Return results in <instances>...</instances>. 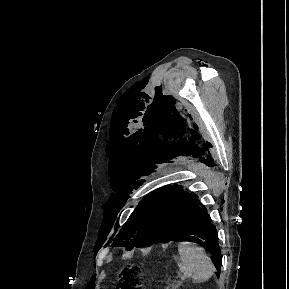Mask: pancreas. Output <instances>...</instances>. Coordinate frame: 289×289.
<instances>
[{
  "instance_id": "cf45deb5",
  "label": "pancreas",
  "mask_w": 289,
  "mask_h": 289,
  "mask_svg": "<svg viewBox=\"0 0 289 289\" xmlns=\"http://www.w3.org/2000/svg\"><path fill=\"white\" fill-rule=\"evenodd\" d=\"M178 286H179L178 284H170L165 289H178Z\"/></svg>"
}]
</instances>
